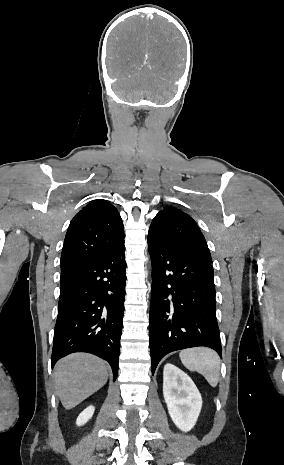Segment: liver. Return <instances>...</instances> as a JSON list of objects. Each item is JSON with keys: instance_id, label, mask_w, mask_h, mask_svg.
<instances>
[{"instance_id": "1", "label": "liver", "mask_w": 284, "mask_h": 465, "mask_svg": "<svg viewBox=\"0 0 284 465\" xmlns=\"http://www.w3.org/2000/svg\"><path fill=\"white\" fill-rule=\"evenodd\" d=\"M54 371L56 395L64 409H73L107 383L110 367L94 355L76 353L58 361Z\"/></svg>"}]
</instances>
